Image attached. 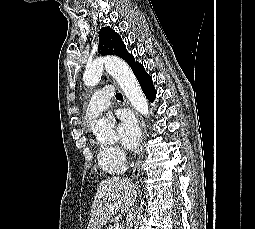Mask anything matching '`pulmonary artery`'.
Instances as JSON below:
<instances>
[{
    "instance_id": "e3ab8cb5",
    "label": "pulmonary artery",
    "mask_w": 255,
    "mask_h": 229,
    "mask_svg": "<svg viewBox=\"0 0 255 229\" xmlns=\"http://www.w3.org/2000/svg\"><path fill=\"white\" fill-rule=\"evenodd\" d=\"M114 95L112 85H106L97 90L88 103L86 110V119L90 122L94 121L99 115L105 111L110 105V98Z\"/></svg>"
}]
</instances>
